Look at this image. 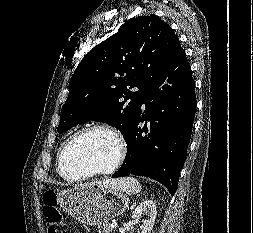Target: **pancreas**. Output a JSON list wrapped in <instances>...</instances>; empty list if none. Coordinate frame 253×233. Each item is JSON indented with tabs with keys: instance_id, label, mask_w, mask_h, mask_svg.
Returning <instances> with one entry per match:
<instances>
[{
	"instance_id": "1",
	"label": "pancreas",
	"mask_w": 253,
	"mask_h": 233,
	"mask_svg": "<svg viewBox=\"0 0 253 233\" xmlns=\"http://www.w3.org/2000/svg\"><path fill=\"white\" fill-rule=\"evenodd\" d=\"M114 231V228L111 226V224L106 223L102 227H99L98 233H112Z\"/></svg>"
}]
</instances>
